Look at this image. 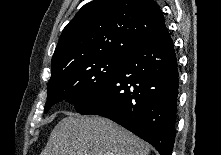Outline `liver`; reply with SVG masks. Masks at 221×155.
I'll return each mask as SVG.
<instances>
[{
	"instance_id": "obj_1",
	"label": "liver",
	"mask_w": 221,
	"mask_h": 155,
	"mask_svg": "<svg viewBox=\"0 0 221 155\" xmlns=\"http://www.w3.org/2000/svg\"><path fill=\"white\" fill-rule=\"evenodd\" d=\"M149 146L113 121L99 116L63 118L41 155H148Z\"/></svg>"
}]
</instances>
